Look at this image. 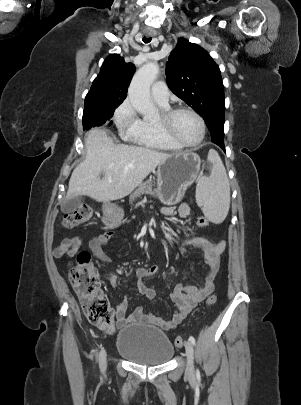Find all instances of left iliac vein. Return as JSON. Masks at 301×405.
<instances>
[{
  "label": "left iliac vein",
  "instance_id": "4c4485c4",
  "mask_svg": "<svg viewBox=\"0 0 301 405\" xmlns=\"http://www.w3.org/2000/svg\"><path fill=\"white\" fill-rule=\"evenodd\" d=\"M184 346H185L186 356H187L186 374L188 376H193L194 375L193 345L190 341H186Z\"/></svg>",
  "mask_w": 301,
  "mask_h": 405
}]
</instances>
